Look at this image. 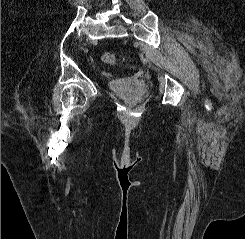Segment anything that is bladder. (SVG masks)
<instances>
[{
	"label": "bladder",
	"mask_w": 245,
	"mask_h": 239,
	"mask_svg": "<svg viewBox=\"0 0 245 239\" xmlns=\"http://www.w3.org/2000/svg\"><path fill=\"white\" fill-rule=\"evenodd\" d=\"M109 87L113 92L130 97L133 100L143 98L149 89L147 85L138 83L134 78L111 81Z\"/></svg>",
	"instance_id": "obj_1"
}]
</instances>
